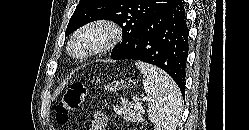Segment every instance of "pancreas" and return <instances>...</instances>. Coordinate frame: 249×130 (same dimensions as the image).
<instances>
[{"label":"pancreas","mask_w":249,"mask_h":130,"mask_svg":"<svg viewBox=\"0 0 249 130\" xmlns=\"http://www.w3.org/2000/svg\"><path fill=\"white\" fill-rule=\"evenodd\" d=\"M114 112L121 116L126 121H133V122H143L144 118L142 115L141 108L137 107L136 105L128 102H122L121 106H115Z\"/></svg>","instance_id":"cf45deb5"}]
</instances>
